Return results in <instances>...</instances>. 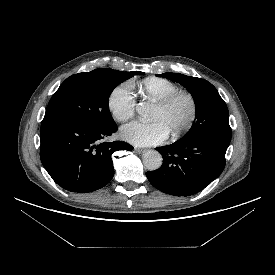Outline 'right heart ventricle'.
Listing matches in <instances>:
<instances>
[{"mask_svg":"<svg viewBox=\"0 0 275 275\" xmlns=\"http://www.w3.org/2000/svg\"><path fill=\"white\" fill-rule=\"evenodd\" d=\"M179 90L174 82L161 77L145 78L140 86V93L143 99L158 103L166 96Z\"/></svg>","mask_w":275,"mask_h":275,"instance_id":"e07e8e85","label":"right heart ventricle"}]
</instances>
